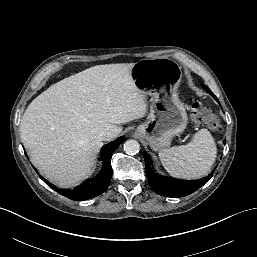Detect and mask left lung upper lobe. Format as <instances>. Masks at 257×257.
Listing matches in <instances>:
<instances>
[{
  "mask_svg": "<svg viewBox=\"0 0 257 257\" xmlns=\"http://www.w3.org/2000/svg\"><path fill=\"white\" fill-rule=\"evenodd\" d=\"M203 86V88L209 93V94H213L212 92H211V90L208 88V87H206L205 85H202ZM215 96V95H214Z\"/></svg>",
  "mask_w": 257,
  "mask_h": 257,
  "instance_id": "5c2ea615",
  "label": "left lung upper lobe"
}]
</instances>
